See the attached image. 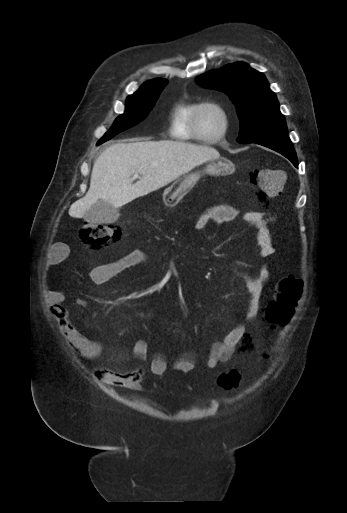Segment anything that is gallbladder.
<instances>
[{
    "label": "gallbladder",
    "mask_w": 347,
    "mask_h": 513,
    "mask_svg": "<svg viewBox=\"0 0 347 513\" xmlns=\"http://www.w3.org/2000/svg\"><path fill=\"white\" fill-rule=\"evenodd\" d=\"M120 216L118 208L103 200L97 201L87 210L83 218L91 224L114 223Z\"/></svg>",
    "instance_id": "bac80fb5"
}]
</instances>
